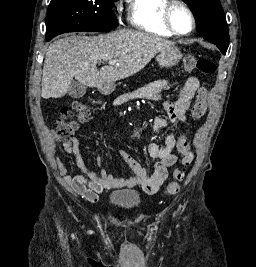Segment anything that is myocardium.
I'll return each instance as SVG.
<instances>
[{
    "mask_svg": "<svg viewBox=\"0 0 256 267\" xmlns=\"http://www.w3.org/2000/svg\"><path fill=\"white\" fill-rule=\"evenodd\" d=\"M174 5L181 7L189 14L190 21H191V27H190V30L186 33L179 32L176 29V27L172 21L171 10H172V7ZM163 20H164L165 24L167 25V27L172 31V33H174L177 36H181V37H187V36L191 35L193 33V31L195 29V25H196L195 16H194L193 12L183 1H180V0H173L171 5L167 6L165 8L164 13H163Z\"/></svg>",
    "mask_w": 256,
    "mask_h": 267,
    "instance_id": "f54148a6",
    "label": "myocardium"
}]
</instances>
